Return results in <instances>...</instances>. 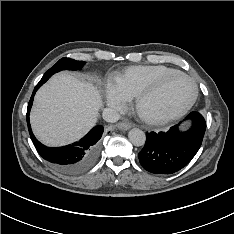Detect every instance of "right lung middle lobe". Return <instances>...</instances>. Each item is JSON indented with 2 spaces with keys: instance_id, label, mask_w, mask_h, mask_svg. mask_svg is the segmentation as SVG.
Wrapping results in <instances>:
<instances>
[{
  "instance_id": "right-lung-middle-lobe-1",
  "label": "right lung middle lobe",
  "mask_w": 234,
  "mask_h": 234,
  "mask_svg": "<svg viewBox=\"0 0 234 234\" xmlns=\"http://www.w3.org/2000/svg\"><path fill=\"white\" fill-rule=\"evenodd\" d=\"M84 65V61H76L70 58L60 59L53 67H51L42 77L41 80L46 82L51 75L61 70H80Z\"/></svg>"
}]
</instances>
